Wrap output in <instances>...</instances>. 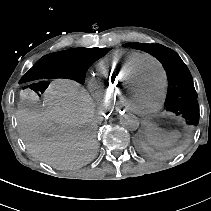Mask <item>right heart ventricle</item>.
<instances>
[{"label": "right heart ventricle", "instance_id": "right-heart-ventricle-1", "mask_svg": "<svg viewBox=\"0 0 211 211\" xmlns=\"http://www.w3.org/2000/svg\"><path fill=\"white\" fill-rule=\"evenodd\" d=\"M147 54L130 51L113 52L104 57L96 68V81L107 107L118 103L119 86L125 74L135 67Z\"/></svg>", "mask_w": 211, "mask_h": 211}]
</instances>
